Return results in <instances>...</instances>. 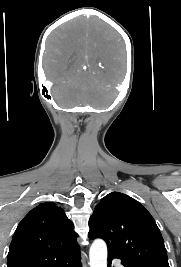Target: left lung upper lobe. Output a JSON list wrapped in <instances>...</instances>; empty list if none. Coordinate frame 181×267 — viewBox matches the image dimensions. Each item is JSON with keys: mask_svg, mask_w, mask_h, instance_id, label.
Wrapping results in <instances>:
<instances>
[{"mask_svg": "<svg viewBox=\"0 0 181 267\" xmlns=\"http://www.w3.org/2000/svg\"><path fill=\"white\" fill-rule=\"evenodd\" d=\"M89 238H102L109 251L137 267H169L164 240L151 214L120 192L103 197L89 220Z\"/></svg>", "mask_w": 181, "mask_h": 267, "instance_id": "1", "label": "left lung upper lobe"}]
</instances>
